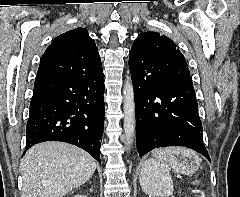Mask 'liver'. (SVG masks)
Here are the masks:
<instances>
[{
	"instance_id": "liver-1",
	"label": "liver",
	"mask_w": 240,
	"mask_h": 197,
	"mask_svg": "<svg viewBox=\"0 0 240 197\" xmlns=\"http://www.w3.org/2000/svg\"><path fill=\"white\" fill-rule=\"evenodd\" d=\"M20 168L21 197H63L91 178L96 161L72 144L43 142L26 152Z\"/></svg>"
}]
</instances>
